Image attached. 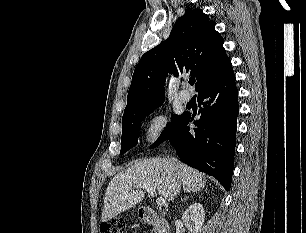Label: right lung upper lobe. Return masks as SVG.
I'll return each instance as SVG.
<instances>
[{"label": "right lung upper lobe", "mask_w": 306, "mask_h": 233, "mask_svg": "<svg viewBox=\"0 0 306 233\" xmlns=\"http://www.w3.org/2000/svg\"><path fill=\"white\" fill-rule=\"evenodd\" d=\"M215 21L199 9H187L169 38L141 57L132 76L124 116L164 101L168 72L196 76V91L232 69L223 48L224 40L214 29Z\"/></svg>", "instance_id": "obj_1"}]
</instances>
